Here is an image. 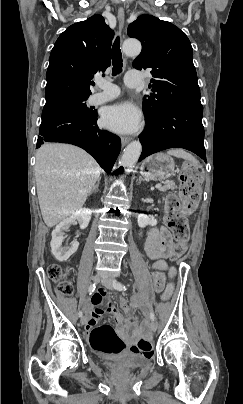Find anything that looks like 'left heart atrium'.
I'll return each instance as SVG.
<instances>
[{"instance_id": "left-heart-atrium-1", "label": "left heart atrium", "mask_w": 243, "mask_h": 404, "mask_svg": "<svg viewBox=\"0 0 243 404\" xmlns=\"http://www.w3.org/2000/svg\"><path fill=\"white\" fill-rule=\"evenodd\" d=\"M103 125L117 133H134L140 125L142 116L140 111L130 102L121 101L102 110Z\"/></svg>"}]
</instances>
